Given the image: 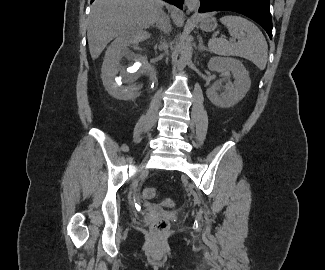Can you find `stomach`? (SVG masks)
Segmentation results:
<instances>
[{"label": "stomach", "instance_id": "1", "mask_svg": "<svg viewBox=\"0 0 325 270\" xmlns=\"http://www.w3.org/2000/svg\"><path fill=\"white\" fill-rule=\"evenodd\" d=\"M199 26L203 31L211 32L216 29L217 22L214 17H204L200 20Z\"/></svg>", "mask_w": 325, "mask_h": 270}]
</instances>
